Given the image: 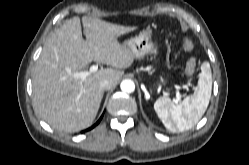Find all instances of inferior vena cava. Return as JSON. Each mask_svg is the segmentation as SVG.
I'll return each instance as SVG.
<instances>
[{"mask_svg":"<svg viewBox=\"0 0 249 165\" xmlns=\"http://www.w3.org/2000/svg\"><path fill=\"white\" fill-rule=\"evenodd\" d=\"M112 87V83L109 80H103L100 82V88L102 90H109Z\"/></svg>","mask_w":249,"mask_h":165,"instance_id":"602c4592","label":"inferior vena cava"}]
</instances>
